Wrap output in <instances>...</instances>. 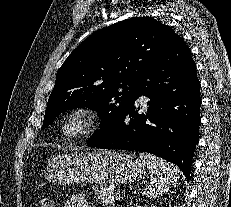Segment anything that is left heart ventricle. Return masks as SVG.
I'll return each instance as SVG.
<instances>
[{
	"label": "left heart ventricle",
	"mask_w": 231,
	"mask_h": 207,
	"mask_svg": "<svg viewBox=\"0 0 231 207\" xmlns=\"http://www.w3.org/2000/svg\"><path fill=\"white\" fill-rule=\"evenodd\" d=\"M81 126H82V124L80 121H73L69 125V131L73 132V133L78 132L80 130Z\"/></svg>",
	"instance_id": "obj_1"
}]
</instances>
